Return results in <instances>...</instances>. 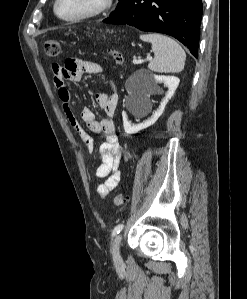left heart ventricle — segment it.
I'll use <instances>...</instances> for the list:
<instances>
[{
  "instance_id": "left-heart-ventricle-1",
  "label": "left heart ventricle",
  "mask_w": 247,
  "mask_h": 299,
  "mask_svg": "<svg viewBox=\"0 0 247 299\" xmlns=\"http://www.w3.org/2000/svg\"><path fill=\"white\" fill-rule=\"evenodd\" d=\"M98 0H61L58 12L64 17L79 15L91 9Z\"/></svg>"
}]
</instances>
